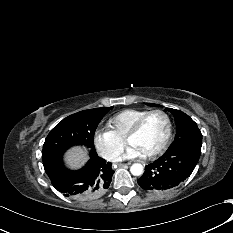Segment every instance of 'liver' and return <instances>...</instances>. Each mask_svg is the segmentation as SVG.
<instances>
[{"mask_svg":"<svg viewBox=\"0 0 233 233\" xmlns=\"http://www.w3.org/2000/svg\"><path fill=\"white\" fill-rule=\"evenodd\" d=\"M86 150L73 148L66 154V161L72 168H78L87 161Z\"/></svg>","mask_w":233,"mask_h":233,"instance_id":"obj_1","label":"liver"}]
</instances>
